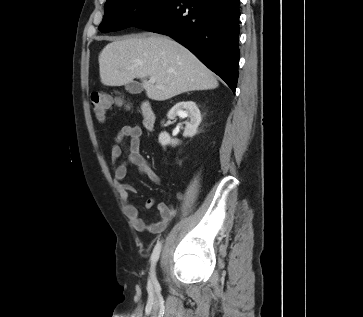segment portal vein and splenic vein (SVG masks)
<instances>
[{
    "instance_id": "portal-vein-and-splenic-vein-1",
    "label": "portal vein and splenic vein",
    "mask_w": 363,
    "mask_h": 317,
    "mask_svg": "<svg viewBox=\"0 0 363 317\" xmlns=\"http://www.w3.org/2000/svg\"><path fill=\"white\" fill-rule=\"evenodd\" d=\"M149 81H150V82H152V83H155V78H154V77H151V78L149 79Z\"/></svg>"
}]
</instances>
